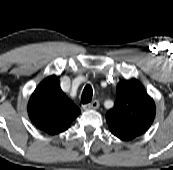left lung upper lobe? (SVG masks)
<instances>
[{"label":"left lung upper lobe","mask_w":173,"mask_h":170,"mask_svg":"<svg viewBox=\"0 0 173 170\" xmlns=\"http://www.w3.org/2000/svg\"><path fill=\"white\" fill-rule=\"evenodd\" d=\"M117 100L107 112L106 121L113 135L128 141L145 133L155 117V103L136 79L120 81Z\"/></svg>","instance_id":"5c2ea615"}]
</instances>
